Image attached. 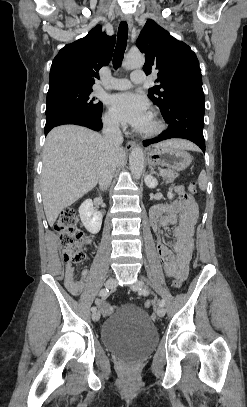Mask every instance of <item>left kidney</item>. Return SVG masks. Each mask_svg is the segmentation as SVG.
Listing matches in <instances>:
<instances>
[{
  "instance_id": "obj_1",
  "label": "left kidney",
  "mask_w": 247,
  "mask_h": 407,
  "mask_svg": "<svg viewBox=\"0 0 247 407\" xmlns=\"http://www.w3.org/2000/svg\"><path fill=\"white\" fill-rule=\"evenodd\" d=\"M145 183L149 188H155L158 185V182L155 178H153L151 175H147L145 178ZM168 198L172 199L173 198V194L172 192H168Z\"/></svg>"
}]
</instances>
